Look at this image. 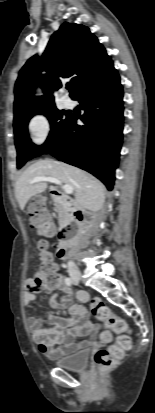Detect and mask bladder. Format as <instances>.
Segmentation results:
<instances>
[{
  "mask_svg": "<svg viewBox=\"0 0 155 413\" xmlns=\"http://www.w3.org/2000/svg\"><path fill=\"white\" fill-rule=\"evenodd\" d=\"M89 354V350H82L70 356L57 359L55 365L68 371H83L88 365Z\"/></svg>",
  "mask_w": 155,
  "mask_h": 413,
  "instance_id": "obj_1",
  "label": "bladder"
}]
</instances>
